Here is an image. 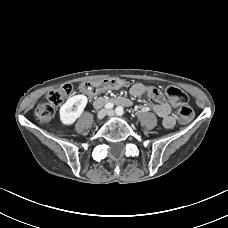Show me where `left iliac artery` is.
Masks as SVG:
<instances>
[{"label":"left iliac artery","instance_id":"left-iliac-artery-1","mask_svg":"<svg viewBox=\"0 0 228 228\" xmlns=\"http://www.w3.org/2000/svg\"><path fill=\"white\" fill-rule=\"evenodd\" d=\"M115 112L117 115L122 116L124 114V109L122 106H118L116 107Z\"/></svg>","mask_w":228,"mask_h":228}]
</instances>
